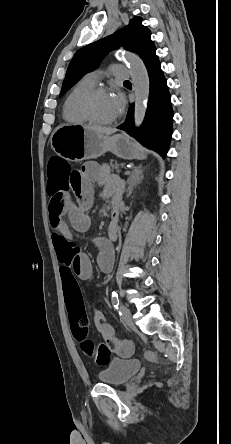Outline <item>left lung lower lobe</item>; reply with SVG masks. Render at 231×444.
Returning <instances> with one entry per match:
<instances>
[{
  "label": "left lung lower lobe",
  "instance_id": "obj_1",
  "mask_svg": "<svg viewBox=\"0 0 231 444\" xmlns=\"http://www.w3.org/2000/svg\"><path fill=\"white\" fill-rule=\"evenodd\" d=\"M150 81V93L145 119L140 128L134 127V104H131L127 118L117 128L135 137L142 145L155 150L165 157L172 135L173 110L167 81L154 52L146 61Z\"/></svg>",
  "mask_w": 231,
  "mask_h": 444
}]
</instances>
